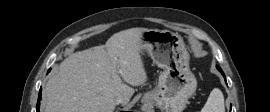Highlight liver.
I'll use <instances>...</instances> for the list:
<instances>
[{"label": "liver", "mask_w": 270, "mask_h": 112, "mask_svg": "<svg viewBox=\"0 0 270 112\" xmlns=\"http://www.w3.org/2000/svg\"><path fill=\"white\" fill-rule=\"evenodd\" d=\"M147 30H123L105 45L69 55L45 85L43 112H114L118 95L128 103L135 92L129 85L147 81L139 48Z\"/></svg>", "instance_id": "liver-1"}]
</instances>
